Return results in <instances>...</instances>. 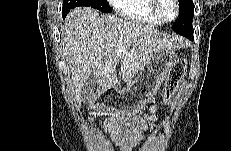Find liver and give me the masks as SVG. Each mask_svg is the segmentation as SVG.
<instances>
[{
  "mask_svg": "<svg viewBox=\"0 0 231 151\" xmlns=\"http://www.w3.org/2000/svg\"><path fill=\"white\" fill-rule=\"evenodd\" d=\"M61 38L77 98L91 75H95L101 90L106 91L118 83L119 63L123 81L130 82L153 52L176 50L184 45L178 36L170 37L115 15H100L88 7L69 12L61 25Z\"/></svg>",
  "mask_w": 231,
  "mask_h": 151,
  "instance_id": "liver-1",
  "label": "liver"
}]
</instances>
